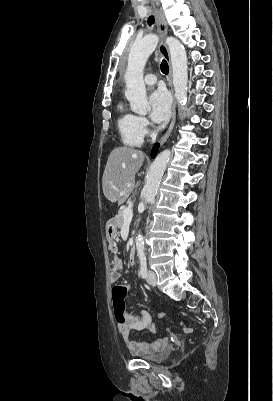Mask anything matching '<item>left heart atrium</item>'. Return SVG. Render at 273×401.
<instances>
[{"label": "left heart atrium", "mask_w": 273, "mask_h": 401, "mask_svg": "<svg viewBox=\"0 0 273 401\" xmlns=\"http://www.w3.org/2000/svg\"><path fill=\"white\" fill-rule=\"evenodd\" d=\"M149 117L156 125L165 124L170 115V100L163 92H154L149 96Z\"/></svg>", "instance_id": "obj_1"}]
</instances>
